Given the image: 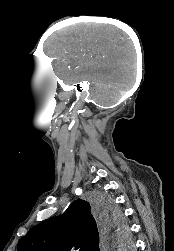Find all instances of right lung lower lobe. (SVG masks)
Instances as JSON below:
<instances>
[{"mask_svg": "<svg viewBox=\"0 0 174 251\" xmlns=\"http://www.w3.org/2000/svg\"><path fill=\"white\" fill-rule=\"evenodd\" d=\"M110 234L106 231V229L103 228L102 230V239H101V242H102V245H101V248L102 250H106L109 248V243H111L112 245V241L109 242L107 237L109 236ZM113 246V245H112Z\"/></svg>", "mask_w": 174, "mask_h": 251, "instance_id": "98d812e1", "label": "right lung lower lobe"}]
</instances>
